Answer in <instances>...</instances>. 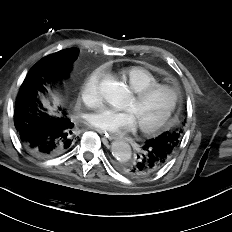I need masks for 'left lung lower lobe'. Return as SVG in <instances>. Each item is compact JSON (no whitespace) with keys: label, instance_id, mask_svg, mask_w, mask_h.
<instances>
[{"label":"left lung lower lobe","instance_id":"0a47b994","mask_svg":"<svg viewBox=\"0 0 232 232\" xmlns=\"http://www.w3.org/2000/svg\"><path fill=\"white\" fill-rule=\"evenodd\" d=\"M172 157V152L163 144L147 140L132 163L122 165L121 170L131 177H143L159 171Z\"/></svg>","mask_w":232,"mask_h":232}]
</instances>
